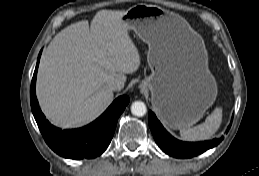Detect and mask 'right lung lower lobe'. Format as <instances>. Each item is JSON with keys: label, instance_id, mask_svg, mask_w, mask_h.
I'll list each match as a JSON object with an SVG mask.
<instances>
[{"label": "right lung lower lobe", "instance_id": "obj_1", "mask_svg": "<svg viewBox=\"0 0 259 176\" xmlns=\"http://www.w3.org/2000/svg\"><path fill=\"white\" fill-rule=\"evenodd\" d=\"M40 56L41 52L31 82L30 102L45 142L54 152L65 158L90 159L101 155L111 142L118 118L129 103V97H118L98 119L85 127L61 130L46 120L36 98L35 83Z\"/></svg>", "mask_w": 259, "mask_h": 176}]
</instances>
